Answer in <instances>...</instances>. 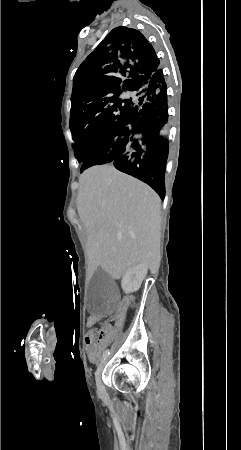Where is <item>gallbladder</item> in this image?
Returning a JSON list of instances; mask_svg holds the SVG:
<instances>
[{
    "label": "gallbladder",
    "instance_id": "obj_1",
    "mask_svg": "<svg viewBox=\"0 0 241 450\" xmlns=\"http://www.w3.org/2000/svg\"><path fill=\"white\" fill-rule=\"evenodd\" d=\"M118 288L112 274L98 268L94 272L87 292L86 310L90 315H115L119 307Z\"/></svg>",
    "mask_w": 241,
    "mask_h": 450
}]
</instances>
